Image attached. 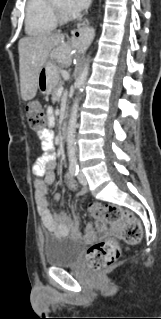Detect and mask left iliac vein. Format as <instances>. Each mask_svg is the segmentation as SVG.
Instances as JSON below:
<instances>
[{
  "label": "left iliac vein",
  "instance_id": "1",
  "mask_svg": "<svg viewBox=\"0 0 161 319\" xmlns=\"http://www.w3.org/2000/svg\"><path fill=\"white\" fill-rule=\"evenodd\" d=\"M78 180H79L80 184H82V185H86L87 184V179H86L85 175L82 172H79Z\"/></svg>",
  "mask_w": 161,
  "mask_h": 319
}]
</instances>
